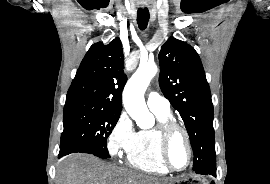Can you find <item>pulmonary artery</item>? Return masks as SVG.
Returning <instances> with one entry per match:
<instances>
[{"label":"pulmonary artery","instance_id":"pulmonary-artery-1","mask_svg":"<svg viewBox=\"0 0 270 184\" xmlns=\"http://www.w3.org/2000/svg\"><path fill=\"white\" fill-rule=\"evenodd\" d=\"M147 105L152 111L169 112L170 103L163 96L156 92H150L147 96Z\"/></svg>","mask_w":270,"mask_h":184}]
</instances>
